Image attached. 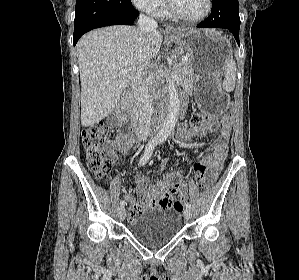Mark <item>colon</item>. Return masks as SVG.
Here are the masks:
<instances>
[{"mask_svg": "<svg viewBox=\"0 0 299 280\" xmlns=\"http://www.w3.org/2000/svg\"><path fill=\"white\" fill-rule=\"evenodd\" d=\"M210 119H212V117L207 114H198L193 116L191 124L193 126H200ZM109 138L110 130L103 124H94L82 132V142L86 153L88 168L99 180L107 179L113 169V158L102 149V145L107 143ZM194 172L199 187L203 188L211 184L212 180L208 177V166L204 161H199L194 165ZM173 208L182 211L184 208L183 201H175ZM142 212L143 208L141 204L130 206L129 218L134 220L138 218Z\"/></svg>", "mask_w": 299, "mask_h": 280, "instance_id": "1", "label": "colon"}]
</instances>
